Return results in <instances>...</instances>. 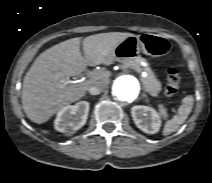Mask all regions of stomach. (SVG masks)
Returning <instances> with one entry per match:
<instances>
[{
  "label": "stomach",
  "instance_id": "0dacf381",
  "mask_svg": "<svg viewBox=\"0 0 212 183\" xmlns=\"http://www.w3.org/2000/svg\"><path fill=\"white\" fill-rule=\"evenodd\" d=\"M172 48L173 44L170 39L160 34L132 35L118 44L111 52L109 60L124 63L141 52L151 57H162L170 53Z\"/></svg>",
  "mask_w": 212,
  "mask_h": 183
}]
</instances>
